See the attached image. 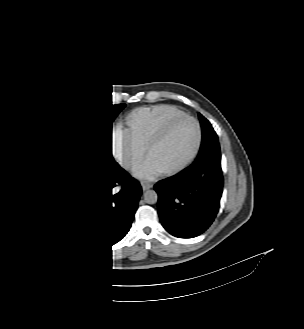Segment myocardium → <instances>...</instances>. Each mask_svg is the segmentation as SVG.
<instances>
[{
	"instance_id": "1",
	"label": "myocardium",
	"mask_w": 304,
	"mask_h": 329,
	"mask_svg": "<svg viewBox=\"0 0 304 329\" xmlns=\"http://www.w3.org/2000/svg\"><path fill=\"white\" fill-rule=\"evenodd\" d=\"M185 119L192 120L197 126L198 136H197L196 144H195L192 152L190 153V155L188 156V158L185 161H183L181 164H179L173 168H169V169L160 171V173L163 175H173V174H177V173L181 172L186 167H188L194 161L196 156L198 155L201 145H202V140H203V130H202V126H201L199 120L197 118H195L194 116L187 115V114L171 118L170 120H168L166 122V124L162 127V129L149 140V142L147 143V145L145 147V157H146V160H148L149 153L152 151V149L157 144H159L160 142H162L163 140H165L167 138V136L169 135L172 128L178 122L185 120Z\"/></svg>"
}]
</instances>
